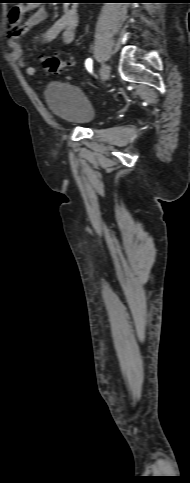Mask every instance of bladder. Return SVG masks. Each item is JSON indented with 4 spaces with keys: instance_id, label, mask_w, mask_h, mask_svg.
Listing matches in <instances>:
<instances>
[{
    "instance_id": "31cf9c89",
    "label": "bladder",
    "mask_w": 190,
    "mask_h": 483,
    "mask_svg": "<svg viewBox=\"0 0 190 483\" xmlns=\"http://www.w3.org/2000/svg\"><path fill=\"white\" fill-rule=\"evenodd\" d=\"M45 102L58 119L79 125H89L95 118L90 100L76 86L55 81L44 91Z\"/></svg>"
}]
</instances>
